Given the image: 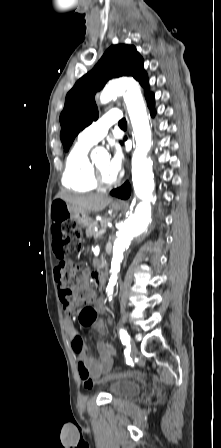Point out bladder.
<instances>
[{
    "label": "bladder",
    "instance_id": "1",
    "mask_svg": "<svg viewBox=\"0 0 221 448\" xmlns=\"http://www.w3.org/2000/svg\"><path fill=\"white\" fill-rule=\"evenodd\" d=\"M139 391V385L132 379H116L109 387V393L115 400L131 398Z\"/></svg>",
    "mask_w": 221,
    "mask_h": 448
}]
</instances>
